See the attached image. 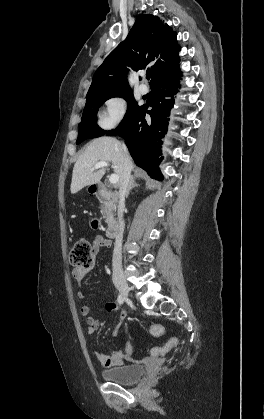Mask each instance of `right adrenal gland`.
<instances>
[{"instance_id":"right-adrenal-gland-1","label":"right adrenal gland","mask_w":264,"mask_h":419,"mask_svg":"<svg viewBox=\"0 0 264 419\" xmlns=\"http://www.w3.org/2000/svg\"><path fill=\"white\" fill-rule=\"evenodd\" d=\"M138 186H140V185L135 183L134 176H131L130 182H129V185H128V189H127V193H126V197H128L130 191L133 188L138 187Z\"/></svg>"}]
</instances>
